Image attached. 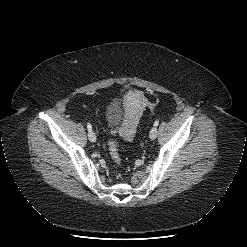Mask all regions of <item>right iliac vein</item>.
<instances>
[{
  "instance_id": "63e3f726",
  "label": "right iliac vein",
  "mask_w": 247,
  "mask_h": 247,
  "mask_svg": "<svg viewBox=\"0 0 247 247\" xmlns=\"http://www.w3.org/2000/svg\"><path fill=\"white\" fill-rule=\"evenodd\" d=\"M88 138H89V140L91 142H95L96 141V135L92 130L88 132Z\"/></svg>"
}]
</instances>
